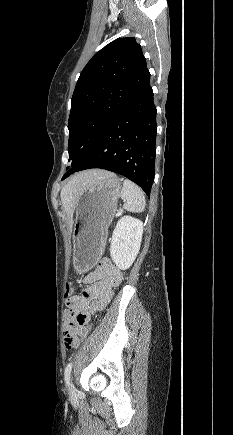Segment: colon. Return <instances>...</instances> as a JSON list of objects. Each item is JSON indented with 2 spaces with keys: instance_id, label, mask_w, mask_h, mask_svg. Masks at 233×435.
<instances>
[{
  "instance_id": "1",
  "label": "colon",
  "mask_w": 233,
  "mask_h": 435,
  "mask_svg": "<svg viewBox=\"0 0 233 435\" xmlns=\"http://www.w3.org/2000/svg\"><path fill=\"white\" fill-rule=\"evenodd\" d=\"M74 291L73 285L70 281H66L65 283V295L70 296ZM64 344L67 348H71L73 346H77L76 337L72 333L71 324L64 326Z\"/></svg>"
}]
</instances>
